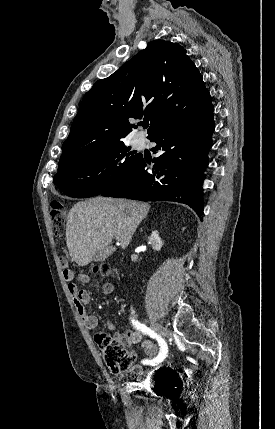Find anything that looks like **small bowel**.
I'll return each mask as SVG.
<instances>
[{
  "mask_svg": "<svg viewBox=\"0 0 275 429\" xmlns=\"http://www.w3.org/2000/svg\"><path fill=\"white\" fill-rule=\"evenodd\" d=\"M63 275L65 281L67 282L68 291L72 296L76 311L82 319L84 325L88 329H95L98 326V319L96 316L89 314L86 310L87 305L90 303V294L86 290L78 289L74 283V273L70 269L64 270ZM78 278L81 283L89 282V277L86 274H80ZM112 290V284H106L103 287L104 293H110ZM107 327L109 330H115L116 324L113 321H109L107 323ZM115 336L119 337L125 344H138L147 354L148 358L146 360L148 361H152L158 356V347L149 340H143L141 334L137 331L128 330L125 332H117ZM147 365L155 366L152 364ZM132 371L140 373L141 367L139 365H134L132 367Z\"/></svg>",
  "mask_w": 275,
  "mask_h": 429,
  "instance_id": "small-bowel-1",
  "label": "small bowel"
}]
</instances>
